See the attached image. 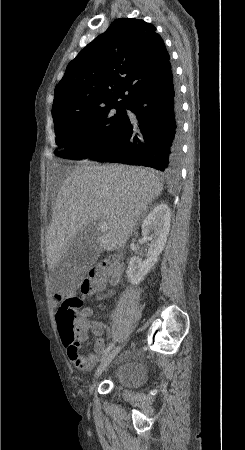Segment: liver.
I'll return each mask as SVG.
<instances>
[{
    "mask_svg": "<svg viewBox=\"0 0 245 450\" xmlns=\"http://www.w3.org/2000/svg\"><path fill=\"white\" fill-rule=\"evenodd\" d=\"M163 181L129 165H81L62 183L46 234L47 264L53 269L74 240L94 222L109 228L97 245L113 251L126 245L148 205L160 195Z\"/></svg>",
    "mask_w": 245,
    "mask_h": 450,
    "instance_id": "1",
    "label": "liver"
}]
</instances>
